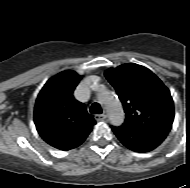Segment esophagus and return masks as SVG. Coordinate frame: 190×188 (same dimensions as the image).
I'll return each mask as SVG.
<instances>
[{"instance_id": "obj_1", "label": "esophagus", "mask_w": 190, "mask_h": 188, "mask_svg": "<svg viewBox=\"0 0 190 188\" xmlns=\"http://www.w3.org/2000/svg\"><path fill=\"white\" fill-rule=\"evenodd\" d=\"M94 118H95L96 121H103V120L106 119V115L105 114H96L94 116Z\"/></svg>"}]
</instances>
